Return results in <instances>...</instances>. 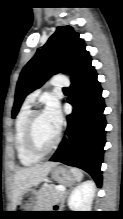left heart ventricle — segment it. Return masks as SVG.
<instances>
[{
    "label": "left heart ventricle",
    "instance_id": "b2bd125f",
    "mask_svg": "<svg viewBox=\"0 0 123 219\" xmlns=\"http://www.w3.org/2000/svg\"><path fill=\"white\" fill-rule=\"evenodd\" d=\"M58 133V129L53 125L47 115L41 113L34 126V135L37 145L42 148H48L55 140Z\"/></svg>",
    "mask_w": 123,
    "mask_h": 219
}]
</instances>
